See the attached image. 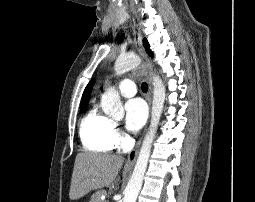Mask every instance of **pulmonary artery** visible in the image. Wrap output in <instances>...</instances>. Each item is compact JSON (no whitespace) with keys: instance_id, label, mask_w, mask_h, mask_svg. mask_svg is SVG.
<instances>
[{"instance_id":"e3ab8cb5","label":"pulmonary artery","mask_w":255,"mask_h":202,"mask_svg":"<svg viewBox=\"0 0 255 202\" xmlns=\"http://www.w3.org/2000/svg\"><path fill=\"white\" fill-rule=\"evenodd\" d=\"M119 92L124 97H132L136 94V86L132 80L124 79L119 83Z\"/></svg>"}]
</instances>
